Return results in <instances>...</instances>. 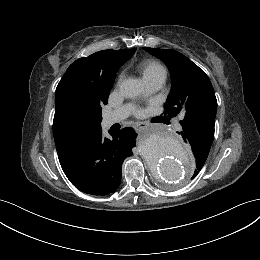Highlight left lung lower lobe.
<instances>
[{
    "label": "left lung lower lobe",
    "instance_id": "obj_1",
    "mask_svg": "<svg viewBox=\"0 0 260 260\" xmlns=\"http://www.w3.org/2000/svg\"><path fill=\"white\" fill-rule=\"evenodd\" d=\"M180 134L182 135L184 141L191 145L193 154L197 160L205 158L207 159L212 143L208 142L199 134L187 128H184ZM198 173L199 172L195 170L192 179L195 178Z\"/></svg>",
    "mask_w": 260,
    "mask_h": 260
}]
</instances>
